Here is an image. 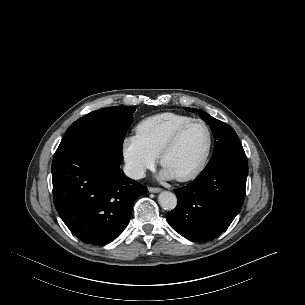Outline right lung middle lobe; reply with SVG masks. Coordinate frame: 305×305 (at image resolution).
Instances as JSON below:
<instances>
[{"label":"right lung middle lobe","mask_w":305,"mask_h":305,"mask_svg":"<svg viewBox=\"0 0 305 305\" xmlns=\"http://www.w3.org/2000/svg\"><path fill=\"white\" fill-rule=\"evenodd\" d=\"M134 106H116L93 111L75 121L65 132L56 152L88 144H102L122 160V144L133 122Z\"/></svg>","instance_id":"dd1d6c3e"}]
</instances>
